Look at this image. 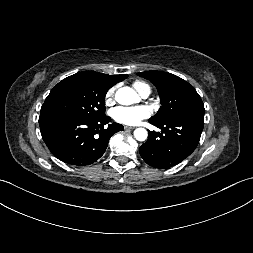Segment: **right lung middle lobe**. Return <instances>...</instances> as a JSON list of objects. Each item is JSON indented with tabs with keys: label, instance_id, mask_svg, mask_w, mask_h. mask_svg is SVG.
Instances as JSON below:
<instances>
[{
	"label": "right lung middle lobe",
	"instance_id": "right-lung-middle-lobe-1",
	"mask_svg": "<svg viewBox=\"0 0 253 253\" xmlns=\"http://www.w3.org/2000/svg\"><path fill=\"white\" fill-rule=\"evenodd\" d=\"M111 86L96 72L83 71L59 82L41 107L40 117L97 119L105 115V95Z\"/></svg>",
	"mask_w": 253,
	"mask_h": 253
}]
</instances>
